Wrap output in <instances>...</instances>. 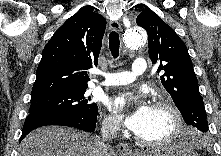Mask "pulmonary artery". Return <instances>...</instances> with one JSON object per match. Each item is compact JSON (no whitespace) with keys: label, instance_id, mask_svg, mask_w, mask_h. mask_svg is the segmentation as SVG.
Segmentation results:
<instances>
[{"label":"pulmonary artery","instance_id":"e3ab8cb5","mask_svg":"<svg viewBox=\"0 0 221 156\" xmlns=\"http://www.w3.org/2000/svg\"><path fill=\"white\" fill-rule=\"evenodd\" d=\"M146 71V61L143 58L134 60L131 71L117 73H106L105 80L101 83L103 86H116L132 83L139 75Z\"/></svg>","mask_w":221,"mask_h":156}]
</instances>
